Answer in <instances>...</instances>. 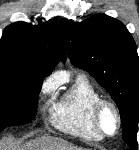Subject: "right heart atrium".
I'll return each mask as SVG.
<instances>
[{
  "label": "right heart atrium",
  "instance_id": "1",
  "mask_svg": "<svg viewBox=\"0 0 139 150\" xmlns=\"http://www.w3.org/2000/svg\"><path fill=\"white\" fill-rule=\"evenodd\" d=\"M47 89H48V86H45V87H44V91H46Z\"/></svg>",
  "mask_w": 139,
  "mask_h": 150
}]
</instances>
